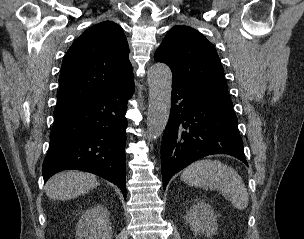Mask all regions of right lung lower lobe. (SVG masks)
<instances>
[{"mask_svg": "<svg viewBox=\"0 0 304 239\" xmlns=\"http://www.w3.org/2000/svg\"><path fill=\"white\" fill-rule=\"evenodd\" d=\"M134 78L73 108L54 113L51 144L43 162L46 182L55 173L77 169L116 184L126 199L127 102Z\"/></svg>", "mask_w": 304, "mask_h": 239, "instance_id": "right-lung-lower-lobe-1", "label": "right lung lower lobe"}]
</instances>
